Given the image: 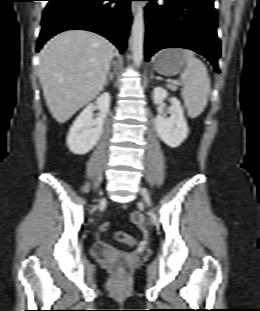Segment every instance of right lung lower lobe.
<instances>
[{
    "label": "right lung lower lobe",
    "instance_id": "98d812e1",
    "mask_svg": "<svg viewBox=\"0 0 260 311\" xmlns=\"http://www.w3.org/2000/svg\"><path fill=\"white\" fill-rule=\"evenodd\" d=\"M37 51L52 36L72 29L96 32L124 52L131 24V0H48Z\"/></svg>",
    "mask_w": 260,
    "mask_h": 311
}]
</instances>
